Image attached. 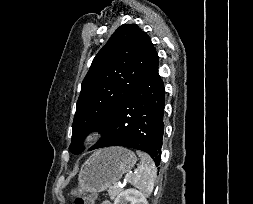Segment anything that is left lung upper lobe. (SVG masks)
Listing matches in <instances>:
<instances>
[{"label":"left lung upper lobe","mask_w":253,"mask_h":204,"mask_svg":"<svg viewBox=\"0 0 253 204\" xmlns=\"http://www.w3.org/2000/svg\"><path fill=\"white\" fill-rule=\"evenodd\" d=\"M156 50L136 24L120 26L93 59L81 84L69 150L79 154L85 136L101 131L139 83Z\"/></svg>","instance_id":"5c2ea615"}]
</instances>
